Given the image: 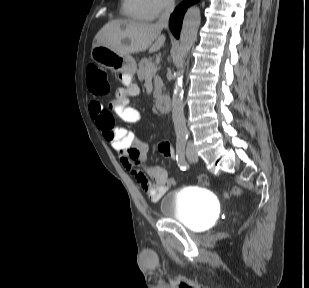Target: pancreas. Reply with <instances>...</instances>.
I'll use <instances>...</instances> for the list:
<instances>
[{
    "label": "pancreas",
    "mask_w": 309,
    "mask_h": 288,
    "mask_svg": "<svg viewBox=\"0 0 309 288\" xmlns=\"http://www.w3.org/2000/svg\"><path fill=\"white\" fill-rule=\"evenodd\" d=\"M138 66H139V69L137 71L138 79L140 81H143L144 79H146L148 75V69L154 66V64L152 63L151 59L143 58L139 62ZM152 76L154 78L153 96L154 98H159L162 94L163 82L159 76L155 75V73L152 74Z\"/></svg>",
    "instance_id": "cf45deb5"
}]
</instances>
